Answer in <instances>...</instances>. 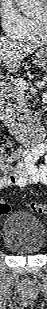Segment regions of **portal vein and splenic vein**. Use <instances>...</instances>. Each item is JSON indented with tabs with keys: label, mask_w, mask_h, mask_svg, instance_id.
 I'll list each match as a JSON object with an SVG mask.
<instances>
[{
	"label": "portal vein and splenic vein",
	"mask_w": 47,
	"mask_h": 309,
	"mask_svg": "<svg viewBox=\"0 0 47 309\" xmlns=\"http://www.w3.org/2000/svg\"><path fill=\"white\" fill-rule=\"evenodd\" d=\"M12 83L18 89H28L29 88V84L24 80L13 79ZM44 85H45L44 82L37 83V87H43Z\"/></svg>",
	"instance_id": "obj_1"
}]
</instances>
